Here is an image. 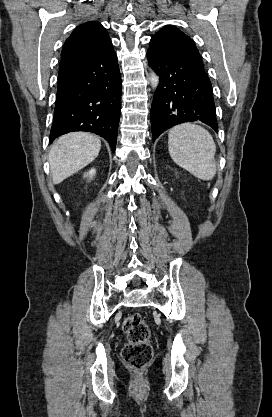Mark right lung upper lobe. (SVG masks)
Here are the masks:
<instances>
[{"instance_id": "1", "label": "right lung upper lobe", "mask_w": 272, "mask_h": 417, "mask_svg": "<svg viewBox=\"0 0 272 417\" xmlns=\"http://www.w3.org/2000/svg\"><path fill=\"white\" fill-rule=\"evenodd\" d=\"M110 41L107 31L98 22L92 21L78 26L64 43L61 63L89 59Z\"/></svg>"}]
</instances>
